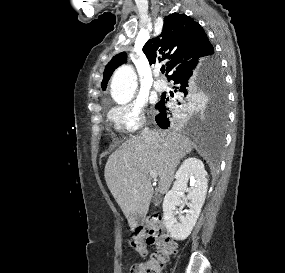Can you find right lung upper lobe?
Wrapping results in <instances>:
<instances>
[{
	"instance_id": "1",
	"label": "right lung upper lobe",
	"mask_w": 285,
	"mask_h": 273,
	"mask_svg": "<svg viewBox=\"0 0 285 273\" xmlns=\"http://www.w3.org/2000/svg\"><path fill=\"white\" fill-rule=\"evenodd\" d=\"M149 63L166 60V75L169 79L175 72L201 59L214 57L211 45L200 24L185 14L173 13L164 18L160 35L150 39L143 47ZM126 61V53L114 56L104 70L103 90L113 71Z\"/></svg>"
}]
</instances>
